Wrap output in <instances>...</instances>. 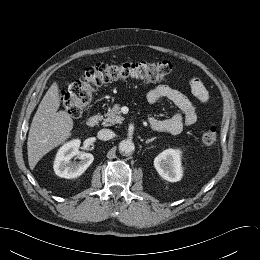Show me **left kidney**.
I'll use <instances>...</instances> for the list:
<instances>
[{"label": "left kidney", "mask_w": 260, "mask_h": 260, "mask_svg": "<svg viewBox=\"0 0 260 260\" xmlns=\"http://www.w3.org/2000/svg\"><path fill=\"white\" fill-rule=\"evenodd\" d=\"M154 167L159 175L170 182H177L183 176L181 166V151L166 149L154 159Z\"/></svg>", "instance_id": "left-kidney-1"}]
</instances>
